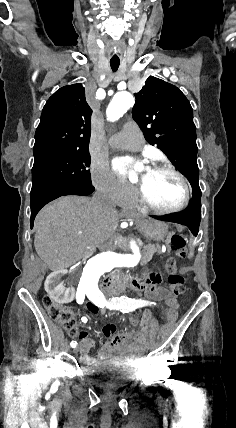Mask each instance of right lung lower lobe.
<instances>
[{
	"mask_svg": "<svg viewBox=\"0 0 236 428\" xmlns=\"http://www.w3.org/2000/svg\"><path fill=\"white\" fill-rule=\"evenodd\" d=\"M94 191V187L91 186H60L50 188L32 194L30 196V207H31V228L34 225V219L39 210L46 205L48 202L63 196V195H80L87 196Z\"/></svg>",
	"mask_w": 236,
	"mask_h": 428,
	"instance_id": "1",
	"label": "right lung lower lobe"
}]
</instances>
